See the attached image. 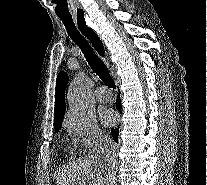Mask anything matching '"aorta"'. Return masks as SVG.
<instances>
[{
	"mask_svg": "<svg viewBox=\"0 0 207 185\" xmlns=\"http://www.w3.org/2000/svg\"><path fill=\"white\" fill-rule=\"evenodd\" d=\"M67 101L70 110L83 112L88 107L84 73L80 72L71 81L67 90Z\"/></svg>",
	"mask_w": 207,
	"mask_h": 185,
	"instance_id": "762f6f07",
	"label": "aorta"
}]
</instances>
